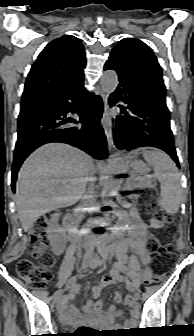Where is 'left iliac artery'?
<instances>
[{"label":"left iliac artery","instance_id":"44dca946","mask_svg":"<svg viewBox=\"0 0 194 336\" xmlns=\"http://www.w3.org/2000/svg\"><path fill=\"white\" fill-rule=\"evenodd\" d=\"M126 285H127V289H128L129 291H132V290H133V284H132L130 281L127 280Z\"/></svg>","mask_w":194,"mask_h":336}]
</instances>
